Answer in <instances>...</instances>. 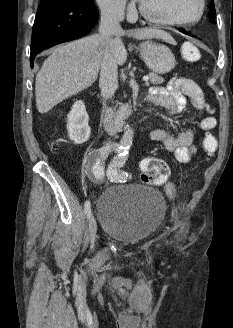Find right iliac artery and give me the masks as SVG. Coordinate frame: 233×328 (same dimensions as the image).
Listing matches in <instances>:
<instances>
[{
	"label": "right iliac artery",
	"mask_w": 233,
	"mask_h": 328,
	"mask_svg": "<svg viewBox=\"0 0 233 328\" xmlns=\"http://www.w3.org/2000/svg\"><path fill=\"white\" fill-rule=\"evenodd\" d=\"M111 146H104L98 150H95L86 157L85 160V169L86 174L94 183H100L104 177V161L111 152ZM127 147L125 145H116L115 152L122 153ZM84 212L87 218L91 214V205L89 201H86L84 204Z\"/></svg>",
	"instance_id": "1"
}]
</instances>
